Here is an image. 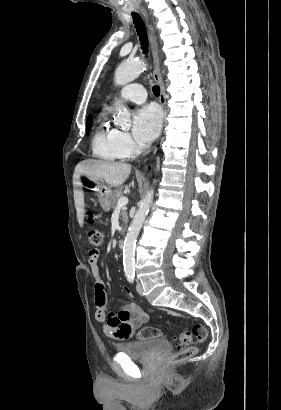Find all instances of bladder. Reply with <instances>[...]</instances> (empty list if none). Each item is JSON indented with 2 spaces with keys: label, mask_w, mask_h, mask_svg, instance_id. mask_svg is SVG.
<instances>
[{
  "label": "bladder",
  "mask_w": 281,
  "mask_h": 410,
  "mask_svg": "<svg viewBox=\"0 0 281 410\" xmlns=\"http://www.w3.org/2000/svg\"><path fill=\"white\" fill-rule=\"evenodd\" d=\"M115 348L118 353L128 355L132 358L148 359L154 355L169 352L171 350V344L161 339H144L118 343Z\"/></svg>",
  "instance_id": "obj_1"
}]
</instances>
